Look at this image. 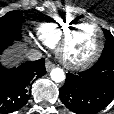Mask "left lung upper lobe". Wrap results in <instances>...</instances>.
Segmentation results:
<instances>
[{
  "label": "left lung upper lobe",
  "instance_id": "1",
  "mask_svg": "<svg viewBox=\"0 0 114 114\" xmlns=\"http://www.w3.org/2000/svg\"><path fill=\"white\" fill-rule=\"evenodd\" d=\"M104 32L106 37V43L101 56L114 57V37L109 31L104 30Z\"/></svg>",
  "mask_w": 114,
  "mask_h": 114
}]
</instances>
